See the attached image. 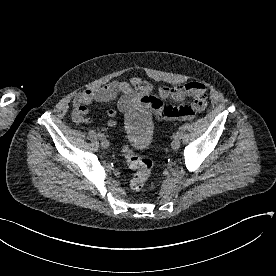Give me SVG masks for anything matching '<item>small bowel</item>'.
Listing matches in <instances>:
<instances>
[{
  "mask_svg": "<svg viewBox=\"0 0 276 276\" xmlns=\"http://www.w3.org/2000/svg\"><path fill=\"white\" fill-rule=\"evenodd\" d=\"M152 90L151 83L133 77L130 81H112L97 88L79 91L73 100V119L76 123L87 122L86 116L93 102L107 103L116 98L119 112L126 114L134 109L145 108L161 120L191 119L204 110L207 104V87L202 82L192 81L174 87L161 85L157 97L152 96ZM187 97L193 98L189 105L166 106L162 102L164 99L183 102ZM117 110L107 111V125L110 127L117 125Z\"/></svg>",
  "mask_w": 276,
  "mask_h": 276,
  "instance_id": "obj_1",
  "label": "small bowel"
}]
</instances>
